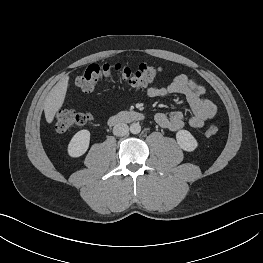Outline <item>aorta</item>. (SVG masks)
<instances>
[{
  "mask_svg": "<svg viewBox=\"0 0 263 263\" xmlns=\"http://www.w3.org/2000/svg\"><path fill=\"white\" fill-rule=\"evenodd\" d=\"M140 131H141V126H140V124L138 122L137 123H132L130 125V132L132 134H138V133H140Z\"/></svg>",
  "mask_w": 263,
  "mask_h": 263,
  "instance_id": "aorta-1",
  "label": "aorta"
}]
</instances>
